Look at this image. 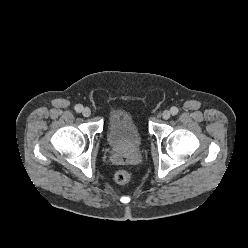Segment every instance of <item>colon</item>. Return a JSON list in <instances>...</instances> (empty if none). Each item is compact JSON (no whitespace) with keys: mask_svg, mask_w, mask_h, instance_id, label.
Here are the masks:
<instances>
[{"mask_svg":"<svg viewBox=\"0 0 248 248\" xmlns=\"http://www.w3.org/2000/svg\"><path fill=\"white\" fill-rule=\"evenodd\" d=\"M115 180L119 184H128L133 180V175L128 170H119L115 174Z\"/></svg>","mask_w":248,"mask_h":248,"instance_id":"colon-1","label":"colon"}]
</instances>
